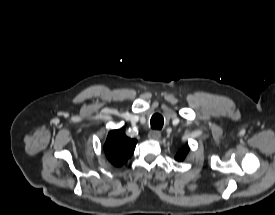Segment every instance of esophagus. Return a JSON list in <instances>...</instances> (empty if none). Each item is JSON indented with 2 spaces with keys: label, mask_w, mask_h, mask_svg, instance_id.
<instances>
[{
  "label": "esophagus",
  "mask_w": 275,
  "mask_h": 215,
  "mask_svg": "<svg viewBox=\"0 0 275 215\" xmlns=\"http://www.w3.org/2000/svg\"><path fill=\"white\" fill-rule=\"evenodd\" d=\"M148 137L153 140H158L161 137V133L158 130H152L149 132Z\"/></svg>",
  "instance_id": "obj_1"
}]
</instances>
